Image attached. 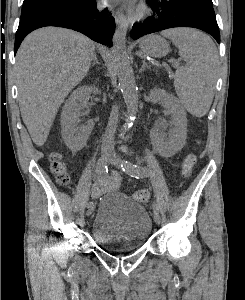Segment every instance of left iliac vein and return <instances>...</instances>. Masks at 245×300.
I'll use <instances>...</instances> for the list:
<instances>
[{
  "instance_id": "obj_1",
  "label": "left iliac vein",
  "mask_w": 245,
  "mask_h": 300,
  "mask_svg": "<svg viewBox=\"0 0 245 300\" xmlns=\"http://www.w3.org/2000/svg\"><path fill=\"white\" fill-rule=\"evenodd\" d=\"M108 162H109L111 165L116 166L117 168L121 169V164H122L124 161L121 160L120 158H118L115 154L111 153ZM153 218H154V221H155L156 224H160L161 217H160V215H159L158 212H154Z\"/></svg>"
}]
</instances>
